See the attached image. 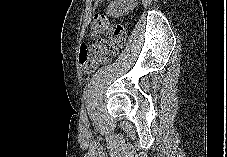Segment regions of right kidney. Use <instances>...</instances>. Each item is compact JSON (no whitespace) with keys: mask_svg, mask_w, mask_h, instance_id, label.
<instances>
[{"mask_svg":"<svg viewBox=\"0 0 227 157\" xmlns=\"http://www.w3.org/2000/svg\"><path fill=\"white\" fill-rule=\"evenodd\" d=\"M129 2L128 0H117L113 1L111 6L108 7V14L111 16H121L124 12H127L129 10V6L126 5V3Z\"/></svg>","mask_w":227,"mask_h":157,"instance_id":"right-kidney-1","label":"right kidney"}]
</instances>
